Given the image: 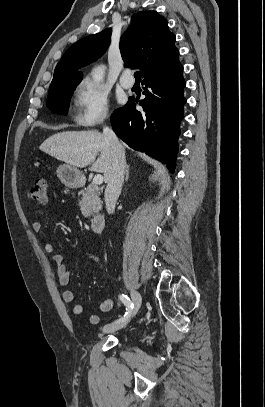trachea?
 Masks as SVG:
<instances>
[{"instance_id":"1","label":"trachea","mask_w":265,"mask_h":407,"mask_svg":"<svg viewBox=\"0 0 265 407\" xmlns=\"http://www.w3.org/2000/svg\"><path fill=\"white\" fill-rule=\"evenodd\" d=\"M134 77L136 80H141V72L139 71L135 72Z\"/></svg>"}]
</instances>
